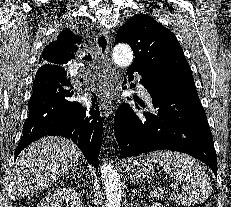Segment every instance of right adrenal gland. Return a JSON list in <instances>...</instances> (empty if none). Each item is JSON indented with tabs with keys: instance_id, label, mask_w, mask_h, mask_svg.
Segmentation results:
<instances>
[{
	"instance_id": "2a0ac1e0",
	"label": "right adrenal gland",
	"mask_w": 231,
	"mask_h": 207,
	"mask_svg": "<svg viewBox=\"0 0 231 207\" xmlns=\"http://www.w3.org/2000/svg\"><path fill=\"white\" fill-rule=\"evenodd\" d=\"M77 170H78V168L74 166L72 171L76 173ZM76 175H77L78 178L80 177L79 173H76Z\"/></svg>"
}]
</instances>
